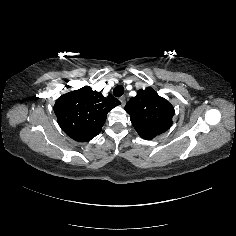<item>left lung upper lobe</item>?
<instances>
[{
	"mask_svg": "<svg viewBox=\"0 0 236 236\" xmlns=\"http://www.w3.org/2000/svg\"><path fill=\"white\" fill-rule=\"evenodd\" d=\"M125 110L140 137L149 140L167 131L174 115V107L151 87L140 89Z\"/></svg>",
	"mask_w": 236,
	"mask_h": 236,
	"instance_id": "obj_1",
	"label": "left lung upper lobe"
}]
</instances>
